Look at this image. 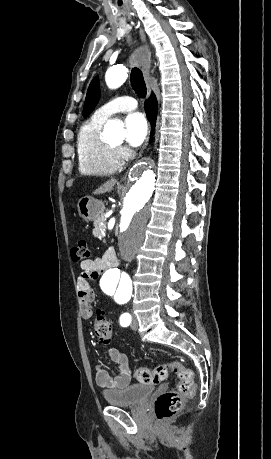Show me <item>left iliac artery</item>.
<instances>
[{
	"instance_id": "left-iliac-artery-1",
	"label": "left iliac artery",
	"mask_w": 271,
	"mask_h": 459,
	"mask_svg": "<svg viewBox=\"0 0 271 459\" xmlns=\"http://www.w3.org/2000/svg\"><path fill=\"white\" fill-rule=\"evenodd\" d=\"M131 320V315L129 313H124L120 317V324L121 326L126 327L131 323Z\"/></svg>"
}]
</instances>
